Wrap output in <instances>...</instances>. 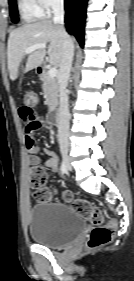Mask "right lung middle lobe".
Returning a JSON list of instances; mask_svg holds the SVG:
<instances>
[{"mask_svg": "<svg viewBox=\"0 0 134 281\" xmlns=\"http://www.w3.org/2000/svg\"><path fill=\"white\" fill-rule=\"evenodd\" d=\"M9 9L12 22H18V10L16 5V0H9Z\"/></svg>", "mask_w": 134, "mask_h": 281, "instance_id": "right-lung-middle-lobe-1", "label": "right lung middle lobe"}]
</instances>
